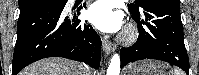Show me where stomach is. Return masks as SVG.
Listing matches in <instances>:
<instances>
[{
	"label": "stomach",
	"mask_w": 199,
	"mask_h": 75,
	"mask_svg": "<svg viewBox=\"0 0 199 75\" xmlns=\"http://www.w3.org/2000/svg\"><path fill=\"white\" fill-rule=\"evenodd\" d=\"M168 66L158 61H139L127 66L124 75H167Z\"/></svg>",
	"instance_id": "obj_1"
}]
</instances>
